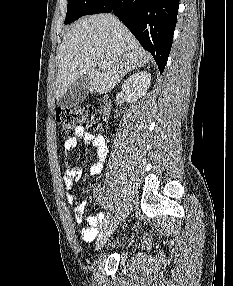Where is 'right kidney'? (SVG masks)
I'll use <instances>...</instances> for the list:
<instances>
[{"mask_svg": "<svg viewBox=\"0 0 233 286\" xmlns=\"http://www.w3.org/2000/svg\"><path fill=\"white\" fill-rule=\"evenodd\" d=\"M150 81L151 74L147 71H139L131 75L122 85L125 100L132 103L144 96L150 87Z\"/></svg>", "mask_w": 233, "mask_h": 286, "instance_id": "ca27d5eb", "label": "right kidney"}]
</instances>
